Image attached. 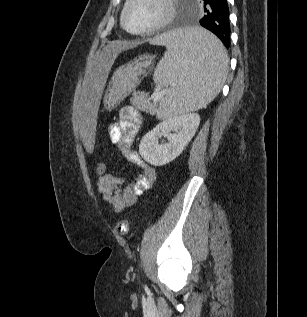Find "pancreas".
I'll use <instances>...</instances> for the list:
<instances>
[{"mask_svg":"<svg viewBox=\"0 0 307 317\" xmlns=\"http://www.w3.org/2000/svg\"><path fill=\"white\" fill-rule=\"evenodd\" d=\"M141 109L146 111V112H156V106H155V103L154 102H150V99L149 98H143V100L141 101Z\"/></svg>","mask_w":307,"mask_h":317,"instance_id":"cf45deb5","label":"pancreas"}]
</instances>
